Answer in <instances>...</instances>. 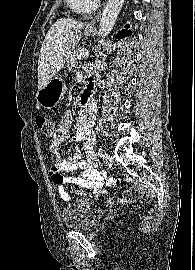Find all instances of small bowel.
<instances>
[{
	"label": "small bowel",
	"instance_id": "1",
	"mask_svg": "<svg viewBox=\"0 0 195 270\" xmlns=\"http://www.w3.org/2000/svg\"><path fill=\"white\" fill-rule=\"evenodd\" d=\"M93 115L94 111L92 106L79 110L76 120L74 141L80 147L77 148L76 153L67 158H61L59 146L71 135L73 118L69 110L64 113L62 122L52 134L49 143L52 161L50 175L53 183L57 186L59 196L64 201L70 200V195L65 188L68 184L81 188L80 190H76V202H85L88 200L86 192L88 189L94 190L95 198L97 199L99 192L106 193V191L103 190L105 185L111 186L115 184V179L107 177L105 171L99 170L95 161L93 149L95 136L92 131ZM80 150L84 153L85 158H82ZM74 171H78L79 175L63 176L61 174V172Z\"/></svg>",
	"mask_w": 195,
	"mask_h": 270
}]
</instances>
